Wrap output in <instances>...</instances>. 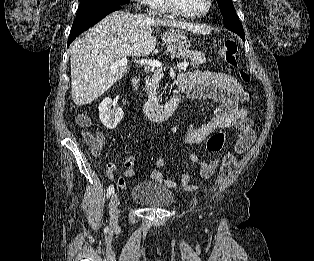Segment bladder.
Instances as JSON below:
<instances>
[{"mask_svg":"<svg viewBox=\"0 0 314 261\" xmlns=\"http://www.w3.org/2000/svg\"><path fill=\"white\" fill-rule=\"evenodd\" d=\"M131 199L143 207L166 208L174 202V193L156 182L147 181L133 188Z\"/></svg>","mask_w":314,"mask_h":261,"instance_id":"bladder-1","label":"bladder"}]
</instances>
